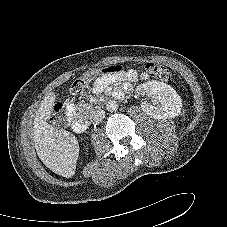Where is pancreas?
<instances>
[{
	"label": "pancreas",
	"mask_w": 227,
	"mask_h": 227,
	"mask_svg": "<svg viewBox=\"0 0 227 227\" xmlns=\"http://www.w3.org/2000/svg\"><path fill=\"white\" fill-rule=\"evenodd\" d=\"M79 110L81 111H91L92 110V106L90 104H80L79 105Z\"/></svg>",
	"instance_id": "1"
}]
</instances>
